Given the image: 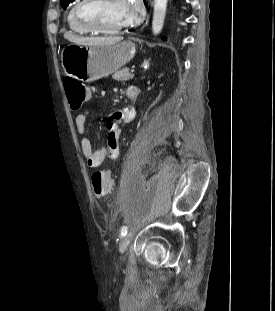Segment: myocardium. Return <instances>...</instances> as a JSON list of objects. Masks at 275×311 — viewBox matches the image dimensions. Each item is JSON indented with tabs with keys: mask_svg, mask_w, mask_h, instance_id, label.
<instances>
[{
	"mask_svg": "<svg viewBox=\"0 0 275 311\" xmlns=\"http://www.w3.org/2000/svg\"><path fill=\"white\" fill-rule=\"evenodd\" d=\"M106 1L107 0H80V3L77 4L72 10L74 21L93 33L104 35H114L120 33L126 25L107 29L100 26L89 14L91 9Z\"/></svg>",
	"mask_w": 275,
	"mask_h": 311,
	"instance_id": "1",
	"label": "myocardium"
}]
</instances>
